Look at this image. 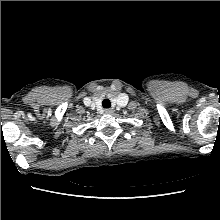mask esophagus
<instances>
[{"label": "esophagus", "instance_id": "34e87169", "mask_svg": "<svg viewBox=\"0 0 220 220\" xmlns=\"http://www.w3.org/2000/svg\"><path fill=\"white\" fill-rule=\"evenodd\" d=\"M112 112H113V110H112V109H110V108L105 109V113H106V114H111Z\"/></svg>", "mask_w": 220, "mask_h": 220}]
</instances>
